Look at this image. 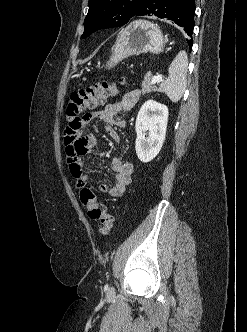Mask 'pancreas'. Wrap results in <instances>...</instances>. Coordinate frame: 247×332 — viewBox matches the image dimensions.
<instances>
[{"instance_id":"cf45deb5","label":"pancreas","mask_w":247,"mask_h":332,"mask_svg":"<svg viewBox=\"0 0 247 332\" xmlns=\"http://www.w3.org/2000/svg\"><path fill=\"white\" fill-rule=\"evenodd\" d=\"M152 73L148 72L146 73L144 80L142 82V94H147V93H151L153 91H156V87L151 85V80H152Z\"/></svg>"}]
</instances>
